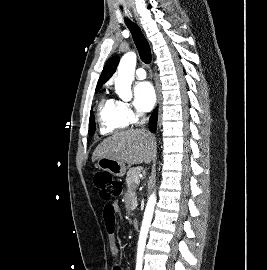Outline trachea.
<instances>
[{
  "instance_id": "3493384b",
  "label": "trachea",
  "mask_w": 267,
  "mask_h": 270,
  "mask_svg": "<svg viewBox=\"0 0 267 270\" xmlns=\"http://www.w3.org/2000/svg\"><path fill=\"white\" fill-rule=\"evenodd\" d=\"M125 21H126V25L128 26L132 34L134 43L138 49L141 60L147 65L150 64L152 57H151L150 46L147 39L145 38L141 29L135 23H133L129 19H126Z\"/></svg>"
}]
</instances>
